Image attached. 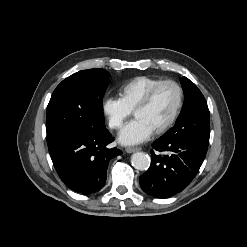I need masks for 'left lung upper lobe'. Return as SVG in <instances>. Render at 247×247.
Returning <instances> with one entry per match:
<instances>
[{"instance_id": "obj_1", "label": "left lung upper lobe", "mask_w": 247, "mask_h": 247, "mask_svg": "<svg viewBox=\"0 0 247 247\" xmlns=\"http://www.w3.org/2000/svg\"><path fill=\"white\" fill-rule=\"evenodd\" d=\"M185 95L183 109L174 125L162 138H190L209 143V109L204 96L188 78H181Z\"/></svg>"}]
</instances>
